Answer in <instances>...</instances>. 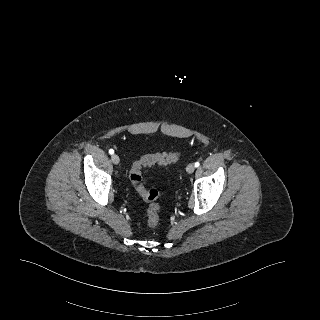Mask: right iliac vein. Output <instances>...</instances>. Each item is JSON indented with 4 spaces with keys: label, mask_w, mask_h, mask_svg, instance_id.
I'll return each instance as SVG.
<instances>
[{
    "label": "right iliac vein",
    "mask_w": 320,
    "mask_h": 320,
    "mask_svg": "<svg viewBox=\"0 0 320 320\" xmlns=\"http://www.w3.org/2000/svg\"><path fill=\"white\" fill-rule=\"evenodd\" d=\"M111 160H112V162H113L115 165L119 164V162H120V158H119V156L116 155V154H114V155L111 156Z\"/></svg>",
    "instance_id": "63e3f726"
}]
</instances>
